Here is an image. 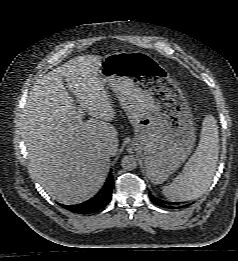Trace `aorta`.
I'll return each instance as SVG.
<instances>
[{"mask_svg":"<svg viewBox=\"0 0 238 261\" xmlns=\"http://www.w3.org/2000/svg\"><path fill=\"white\" fill-rule=\"evenodd\" d=\"M137 159L133 155H126L121 160V166L127 171H132L137 167Z\"/></svg>","mask_w":238,"mask_h":261,"instance_id":"1","label":"aorta"}]
</instances>
